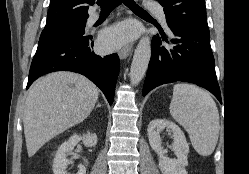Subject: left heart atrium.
Returning a JSON list of instances; mask_svg holds the SVG:
<instances>
[{"mask_svg":"<svg viewBox=\"0 0 249 174\" xmlns=\"http://www.w3.org/2000/svg\"><path fill=\"white\" fill-rule=\"evenodd\" d=\"M136 33V28L131 24H120L106 30L101 38V45L105 49H114L123 41L131 38Z\"/></svg>","mask_w":249,"mask_h":174,"instance_id":"1","label":"left heart atrium"}]
</instances>
